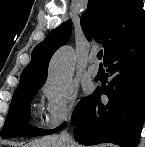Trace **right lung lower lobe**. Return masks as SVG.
<instances>
[{
  "label": "right lung lower lobe",
  "instance_id": "obj_1",
  "mask_svg": "<svg viewBox=\"0 0 145 147\" xmlns=\"http://www.w3.org/2000/svg\"><path fill=\"white\" fill-rule=\"evenodd\" d=\"M104 65L113 79L73 112L74 137L84 145L137 147L145 121V26L114 50ZM101 94L108 102L101 101Z\"/></svg>",
  "mask_w": 145,
  "mask_h": 147
}]
</instances>
